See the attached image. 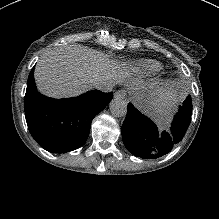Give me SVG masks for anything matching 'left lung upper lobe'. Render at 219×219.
Masks as SVG:
<instances>
[{"mask_svg":"<svg viewBox=\"0 0 219 219\" xmlns=\"http://www.w3.org/2000/svg\"><path fill=\"white\" fill-rule=\"evenodd\" d=\"M183 106L186 107V108L192 109V101H191V97L190 96H188L186 98V100L184 101Z\"/></svg>","mask_w":219,"mask_h":219,"instance_id":"1","label":"left lung upper lobe"}]
</instances>
